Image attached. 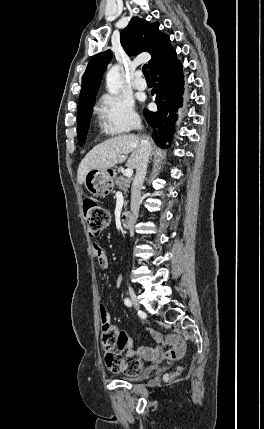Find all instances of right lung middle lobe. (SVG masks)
I'll use <instances>...</instances> for the list:
<instances>
[{
  "label": "right lung middle lobe",
  "mask_w": 264,
  "mask_h": 429,
  "mask_svg": "<svg viewBox=\"0 0 264 429\" xmlns=\"http://www.w3.org/2000/svg\"><path fill=\"white\" fill-rule=\"evenodd\" d=\"M95 101L78 107V142L83 145L86 141V135L89 129L90 117L93 111Z\"/></svg>",
  "instance_id": "obj_1"
}]
</instances>
